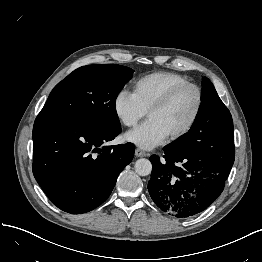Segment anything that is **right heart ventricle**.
<instances>
[{"instance_id": "obj_1", "label": "right heart ventricle", "mask_w": 262, "mask_h": 262, "mask_svg": "<svg viewBox=\"0 0 262 262\" xmlns=\"http://www.w3.org/2000/svg\"><path fill=\"white\" fill-rule=\"evenodd\" d=\"M189 83V80L173 72H154L141 77L133 87V93L146 110L160 100L172 88Z\"/></svg>"}]
</instances>
